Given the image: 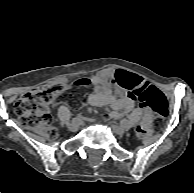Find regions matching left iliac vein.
<instances>
[{
    "label": "left iliac vein",
    "instance_id": "1",
    "mask_svg": "<svg viewBox=\"0 0 194 193\" xmlns=\"http://www.w3.org/2000/svg\"><path fill=\"white\" fill-rule=\"evenodd\" d=\"M113 131L118 135H123L126 132V128L120 125H114Z\"/></svg>",
    "mask_w": 194,
    "mask_h": 193
}]
</instances>
